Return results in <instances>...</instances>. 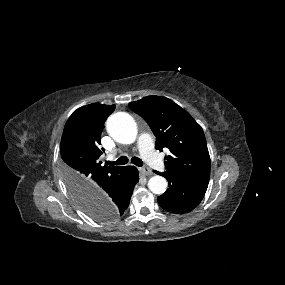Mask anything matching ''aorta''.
<instances>
[{
	"instance_id": "762f6f07",
	"label": "aorta",
	"mask_w": 285,
	"mask_h": 285,
	"mask_svg": "<svg viewBox=\"0 0 285 285\" xmlns=\"http://www.w3.org/2000/svg\"><path fill=\"white\" fill-rule=\"evenodd\" d=\"M107 132L117 142L131 144L137 137V125L131 115L117 112L111 115L106 123ZM149 190L157 195L163 194L167 189V181L162 176H153L148 182Z\"/></svg>"
}]
</instances>
